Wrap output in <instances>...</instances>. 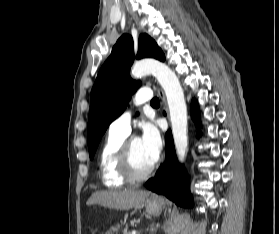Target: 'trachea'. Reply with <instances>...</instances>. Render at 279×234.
I'll return each instance as SVG.
<instances>
[{
    "label": "trachea",
    "instance_id": "trachea-1",
    "mask_svg": "<svg viewBox=\"0 0 279 234\" xmlns=\"http://www.w3.org/2000/svg\"><path fill=\"white\" fill-rule=\"evenodd\" d=\"M151 105H158V104H160V102H159V99L157 98V97H154L152 100H151Z\"/></svg>",
    "mask_w": 279,
    "mask_h": 234
}]
</instances>
